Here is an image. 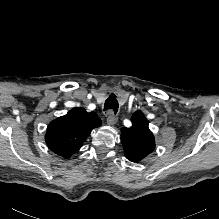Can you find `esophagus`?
Returning <instances> with one entry per match:
<instances>
[{
	"mask_svg": "<svg viewBox=\"0 0 219 219\" xmlns=\"http://www.w3.org/2000/svg\"><path fill=\"white\" fill-rule=\"evenodd\" d=\"M117 117L113 113V111H109L107 114V124L110 126H114L117 123Z\"/></svg>",
	"mask_w": 219,
	"mask_h": 219,
	"instance_id": "1",
	"label": "esophagus"
}]
</instances>
